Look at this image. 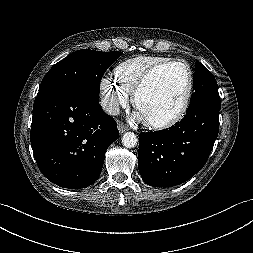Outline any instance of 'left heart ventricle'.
I'll return each instance as SVG.
<instances>
[{
  "instance_id": "b2bd125f",
  "label": "left heart ventricle",
  "mask_w": 253,
  "mask_h": 253,
  "mask_svg": "<svg viewBox=\"0 0 253 253\" xmlns=\"http://www.w3.org/2000/svg\"><path fill=\"white\" fill-rule=\"evenodd\" d=\"M187 73L182 66L159 71L140 93L136 108L145 121H161L180 109L187 88Z\"/></svg>"
}]
</instances>
